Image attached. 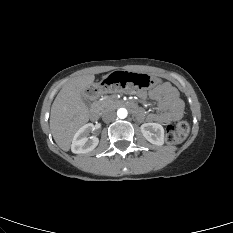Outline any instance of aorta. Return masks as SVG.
Instances as JSON below:
<instances>
[{
  "mask_svg": "<svg viewBox=\"0 0 233 233\" xmlns=\"http://www.w3.org/2000/svg\"><path fill=\"white\" fill-rule=\"evenodd\" d=\"M127 114H128V112H127V110H126L125 108H120V109H118V111H117V116H118V118H120V119L126 118V117H127Z\"/></svg>",
  "mask_w": 233,
  "mask_h": 233,
  "instance_id": "aorta-1",
  "label": "aorta"
}]
</instances>
